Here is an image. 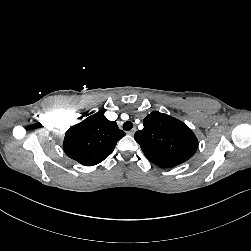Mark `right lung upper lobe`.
<instances>
[{
	"label": "right lung upper lobe",
	"instance_id": "cb5924a9",
	"mask_svg": "<svg viewBox=\"0 0 251 251\" xmlns=\"http://www.w3.org/2000/svg\"><path fill=\"white\" fill-rule=\"evenodd\" d=\"M124 135L115 121L107 120L99 111L68 129L63 149L80 164L93 166L108 157Z\"/></svg>",
	"mask_w": 251,
	"mask_h": 251
}]
</instances>
